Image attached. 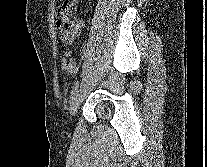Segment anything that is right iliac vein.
Returning a JSON list of instances; mask_svg holds the SVG:
<instances>
[{
	"label": "right iliac vein",
	"mask_w": 207,
	"mask_h": 167,
	"mask_svg": "<svg viewBox=\"0 0 207 167\" xmlns=\"http://www.w3.org/2000/svg\"><path fill=\"white\" fill-rule=\"evenodd\" d=\"M80 105V94L77 92L70 102V115L75 116L77 109Z\"/></svg>",
	"instance_id": "obj_1"
}]
</instances>
